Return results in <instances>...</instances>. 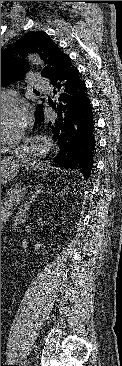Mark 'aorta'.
<instances>
[{"instance_id": "obj_1", "label": "aorta", "mask_w": 122, "mask_h": 366, "mask_svg": "<svg viewBox=\"0 0 122 366\" xmlns=\"http://www.w3.org/2000/svg\"><path fill=\"white\" fill-rule=\"evenodd\" d=\"M28 61L32 65H44V61L38 54L30 53L27 57Z\"/></svg>"}]
</instances>
